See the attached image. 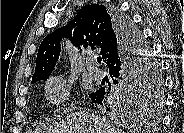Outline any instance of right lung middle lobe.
Here are the masks:
<instances>
[{"mask_svg":"<svg viewBox=\"0 0 184 133\" xmlns=\"http://www.w3.org/2000/svg\"><path fill=\"white\" fill-rule=\"evenodd\" d=\"M128 25L131 27L132 37L143 47L138 51L140 54L138 60L142 62L140 75L130 81L125 95L116 97L112 101V105L116 110L134 111L150 104H160V97L156 98L158 92L162 90V80L160 77V69L158 63L153 59L150 50L145 45L141 33L137 30L129 18L125 17ZM149 54H148V52ZM139 78V79H138ZM48 78L42 80L46 81ZM36 83V82H32Z\"/></svg>","mask_w":184,"mask_h":133,"instance_id":"1","label":"right lung middle lobe"}]
</instances>
